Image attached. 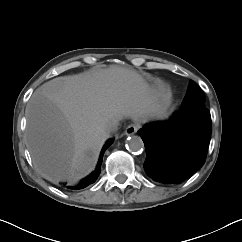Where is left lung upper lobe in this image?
<instances>
[{
    "label": "left lung upper lobe",
    "instance_id": "left-lung-upper-lobe-1",
    "mask_svg": "<svg viewBox=\"0 0 242 242\" xmlns=\"http://www.w3.org/2000/svg\"><path fill=\"white\" fill-rule=\"evenodd\" d=\"M205 106V96L201 88L192 80L189 82L187 93L182 102V109Z\"/></svg>",
    "mask_w": 242,
    "mask_h": 242
}]
</instances>
